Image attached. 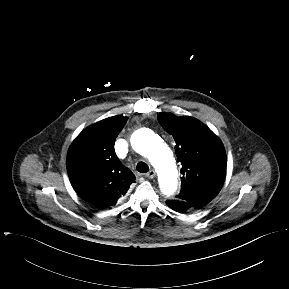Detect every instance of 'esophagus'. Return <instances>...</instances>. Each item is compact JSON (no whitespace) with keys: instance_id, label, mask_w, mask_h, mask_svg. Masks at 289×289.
<instances>
[{"instance_id":"obj_1","label":"esophagus","mask_w":289,"mask_h":289,"mask_svg":"<svg viewBox=\"0 0 289 289\" xmlns=\"http://www.w3.org/2000/svg\"><path fill=\"white\" fill-rule=\"evenodd\" d=\"M156 173L154 170H150L148 173L145 174V176L149 179H153L155 177Z\"/></svg>"}]
</instances>
